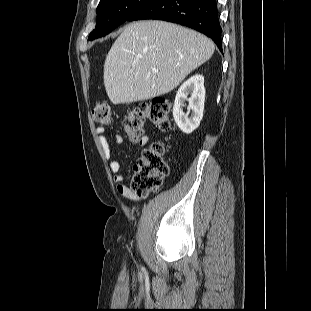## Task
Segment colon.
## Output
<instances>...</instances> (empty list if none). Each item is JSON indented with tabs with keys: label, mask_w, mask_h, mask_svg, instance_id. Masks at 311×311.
Here are the masks:
<instances>
[{
	"label": "colon",
	"mask_w": 311,
	"mask_h": 311,
	"mask_svg": "<svg viewBox=\"0 0 311 311\" xmlns=\"http://www.w3.org/2000/svg\"><path fill=\"white\" fill-rule=\"evenodd\" d=\"M92 116L101 126H109L113 121L112 109L105 101L95 105ZM147 121L161 131H168L171 128L170 102L158 96L129 110L124 116V129L131 138L139 140L143 136ZM168 175L169 167L164 159V146L160 142H154L144 149L141 159L135 165L131 189L137 195L157 190Z\"/></svg>",
	"instance_id": "5ec220e1"
}]
</instances>
